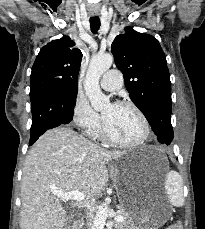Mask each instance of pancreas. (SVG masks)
I'll list each match as a JSON object with an SVG mask.
<instances>
[{"label": "pancreas", "instance_id": "cf45deb5", "mask_svg": "<svg viewBox=\"0 0 205 229\" xmlns=\"http://www.w3.org/2000/svg\"><path fill=\"white\" fill-rule=\"evenodd\" d=\"M120 215L125 217L124 221H120V222H116L114 224V228L115 229H134V225L133 222L129 219V217L127 216L126 212H121L119 213Z\"/></svg>", "mask_w": 205, "mask_h": 229}]
</instances>
